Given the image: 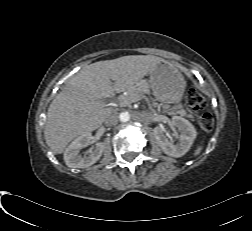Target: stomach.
<instances>
[{
    "instance_id": "0dacf381",
    "label": "stomach",
    "mask_w": 252,
    "mask_h": 231,
    "mask_svg": "<svg viewBox=\"0 0 252 231\" xmlns=\"http://www.w3.org/2000/svg\"><path fill=\"white\" fill-rule=\"evenodd\" d=\"M149 75V86L157 100L163 103L181 101L186 83L176 67L162 60L149 72Z\"/></svg>"
}]
</instances>
